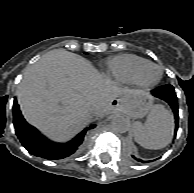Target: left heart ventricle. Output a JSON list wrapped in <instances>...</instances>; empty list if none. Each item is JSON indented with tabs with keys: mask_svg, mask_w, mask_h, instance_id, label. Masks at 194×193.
<instances>
[{
	"mask_svg": "<svg viewBox=\"0 0 194 193\" xmlns=\"http://www.w3.org/2000/svg\"><path fill=\"white\" fill-rule=\"evenodd\" d=\"M157 76H158V70L156 68L150 67L145 71L143 78L147 81H152L156 79Z\"/></svg>",
	"mask_w": 194,
	"mask_h": 193,
	"instance_id": "left-heart-ventricle-1",
	"label": "left heart ventricle"
}]
</instances>
